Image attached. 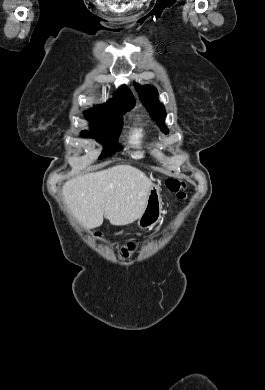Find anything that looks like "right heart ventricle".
<instances>
[{
    "mask_svg": "<svg viewBox=\"0 0 265 390\" xmlns=\"http://www.w3.org/2000/svg\"><path fill=\"white\" fill-rule=\"evenodd\" d=\"M149 139V132L146 130V128L143 125H139L136 128L132 130V132L129 135V142L140 149L138 152L135 153V156L141 157L143 155V151L141 150L143 148L144 143Z\"/></svg>",
    "mask_w": 265,
    "mask_h": 390,
    "instance_id": "1",
    "label": "right heart ventricle"
}]
</instances>
